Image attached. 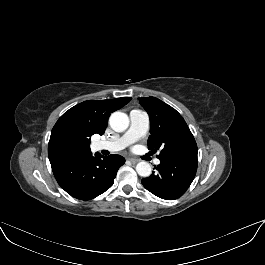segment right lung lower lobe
Listing matches in <instances>:
<instances>
[{
    "label": "right lung lower lobe",
    "instance_id": "right-lung-lower-lobe-1",
    "mask_svg": "<svg viewBox=\"0 0 265 265\" xmlns=\"http://www.w3.org/2000/svg\"><path fill=\"white\" fill-rule=\"evenodd\" d=\"M125 158L96 153L52 169L58 184L72 197L90 200L108 190L114 183L118 169Z\"/></svg>",
    "mask_w": 265,
    "mask_h": 265
}]
</instances>
